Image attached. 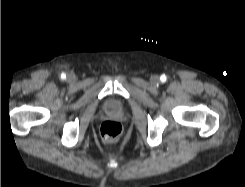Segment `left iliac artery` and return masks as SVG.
Here are the masks:
<instances>
[{
  "label": "left iliac artery",
  "mask_w": 245,
  "mask_h": 187,
  "mask_svg": "<svg viewBox=\"0 0 245 187\" xmlns=\"http://www.w3.org/2000/svg\"><path fill=\"white\" fill-rule=\"evenodd\" d=\"M166 79H167V77H166L165 75H161L160 80H161L162 82H165Z\"/></svg>",
  "instance_id": "44dca946"
}]
</instances>
